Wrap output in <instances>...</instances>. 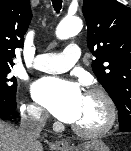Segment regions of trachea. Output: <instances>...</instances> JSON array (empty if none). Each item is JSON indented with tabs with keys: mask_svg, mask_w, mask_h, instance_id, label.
Returning <instances> with one entry per match:
<instances>
[{
	"mask_svg": "<svg viewBox=\"0 0 131 151\" xmlns=\"http://www.w3.org/2000/svg\"><path fill=\"white\" fill-rule=\"evenodd\" d=\"M53 7L56 12H59L62 7V0H52Z\"/></svg>",
	"mask_w": 131,
	"mask_h": 151,
	"instance_id": "trachea-1",
	"label": "trachea"
}]
</instances>
